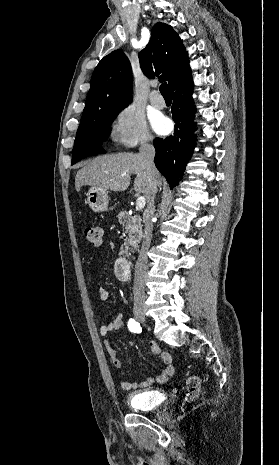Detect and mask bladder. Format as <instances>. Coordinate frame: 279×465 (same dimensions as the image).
Returning <instances> with one entry per match:
<instances>
[{"label":"bladder","instance_id":"31cf9c89","mask_svg":"<svg viewBox=\"0 0 279 465\" xmlns=\"http://www.w3.org/2000/svg\"><path fill=\"white\" fill-rule=\"evenodd\" d=\"M128 400L134 411H151L164 404L165 395L160 390H145L130 394Z\"/></svg>","mask_w":279,"mask_h":465}]
</instances>
